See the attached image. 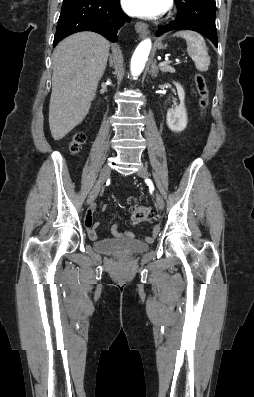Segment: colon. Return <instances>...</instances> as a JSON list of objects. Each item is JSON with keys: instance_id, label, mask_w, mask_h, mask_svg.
<instances>
[{"instance_id": "colon-1", "label": "colon", "mask_w": 254, "mask_h": 397, "mask_svg": "<svg viewBox=\"0 0 254 397\" xmlns=\"http://www.w3.org/2000/svg\"><path fill=\"white\" fill-rule=\"evenodd\" d=\"M196 89L199 95V108L202 116H205L206 109L209 103V91L206 85L205 78L202 74L197 73L194 77ZM86 142V134L83 131L75 132L68 144L69 151L72 154H77L82 150ZM131 216L135 223L151 222L156 220V215L153 210L144 205L134 206L131 210Z\"/></svg>"}]
</instances>
